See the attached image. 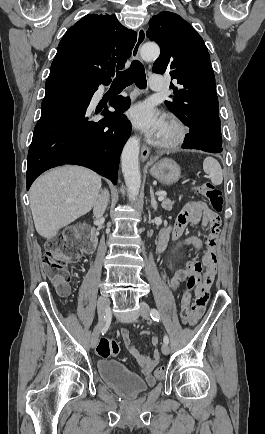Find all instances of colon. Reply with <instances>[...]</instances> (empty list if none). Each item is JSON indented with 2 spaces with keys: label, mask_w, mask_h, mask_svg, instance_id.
<instances>
[{
  "label": "colon",
  "mask_w": 265,
  "mask_h": 434,
  "mask_svg": "<svg viewBox=\"0 0 265 434\" xmlns=\"http://www.w3.org/2000/svg\"><path fill=\"white\" fill-rule=\"evenodd\" d=\"M200 193L207 199L213 211L221 213L224 210V200L221 192L209 182L202 183L199 187ZM45 257L42 263L43 276L53 280L56 290L61 297L68 296L70 292L71 272L69 265L74 264L80 258V252L75 245L72 231L69 230L65 237L56 235L52 237L47 246ZM187 290L183 294L182 310L180 317L184 325L192 324L196 319L190 318V302L194 297L193 286H198L196 275H190L186 281ZM120 352L119 344L107 337L101 338L96 347V353L102 360L111 356H117ZM163 365L159 364L155 375H161Z\"/></svg>",
  "instance_id": "colon-1"
}]
</instances>
